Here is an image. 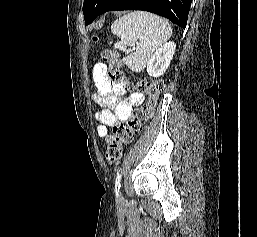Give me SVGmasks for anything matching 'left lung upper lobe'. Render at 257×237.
I'll use <instances>...</instances> for the list:
<instances>
[{"label":"left lung upper lobe","instance_id":"obj_1","mask_svg":"<svg viewBox=\"0 0 257 237\" xmlns=\"http://www.w3.org/2000/svg\"><path fill=\"white\" fill-rule=\"evenodd\" d=\"M107 1L108 0H84L83 13L86 24L97 16Z\"/></svg>","mask_w":257,"mask_h":237}]
</instances>
